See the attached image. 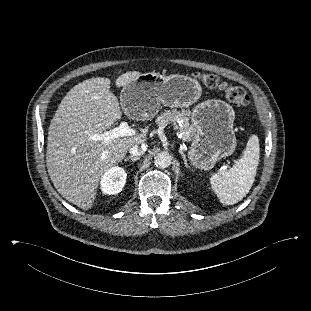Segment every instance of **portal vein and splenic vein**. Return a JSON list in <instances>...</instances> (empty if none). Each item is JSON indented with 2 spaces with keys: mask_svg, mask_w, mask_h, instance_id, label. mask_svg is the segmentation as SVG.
<instances>
[{
  "mask_svg": "<svg viewBox=\"0 0 311 311\" xmlns=\"http://www.w3.org/2000/svg\"><path fill=\"white\" fill-rule=\"evenodd\" d=\"M135 131L129 127L127 122H121L119 127L106 131L102 134H94L91 139L95 141H103L104 143H108L113 139L123 137V136H130L134 134ZM226 166H222V169H226Z\"/></svg>",
  "mask_w": 311,
  "mask_h": 311,
  "instance_id": "portal-vein-and-splenic-vein-1",
  "label": "portal vein and splenic vein"
}]
</instances>
